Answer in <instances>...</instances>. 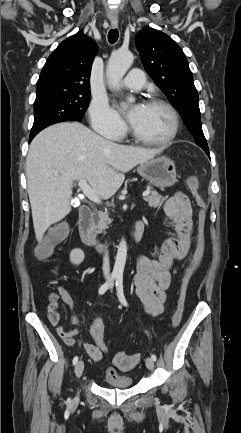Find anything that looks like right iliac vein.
<instances>
[{
    "label": "right iliac vein",
    "instance_id": "1",
    "mask_svg": "<svg viewBox=\"0 0 241 433\" xmlns=\"http://www.w3.org/2000/svg\"><path fill=\"white\" fill-rule=\"evenodd\" d=\"M84 370V362L82 360L78 361L75 366V375L77 378H80ZM74 401L79 400V394H76V396L73 399Z\"/></svg>",
    "mask_w": 241,
    "mask_h": 433
}]
</instances>
